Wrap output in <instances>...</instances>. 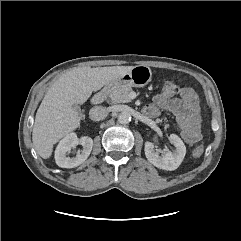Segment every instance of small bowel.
<instances>
[{"mask_svg": "<svg viewBox=\"0 0 241 241\" xmlns=\"http://www.w3.org/2000/svg\"><path fill=\"white\" fill-rule=\"evenodd\" d=\"M161 110L170 111L176 117L181 135L187 143L195 144L201 139L199 99L192 88H182L180 98H167L160 93L144 111L146 115L155 117Z\"/></svg>", "mask_w": 241, "mask_h": 241, "instance_id": "obj_1", "label": "small bowel"}]
</instances>
